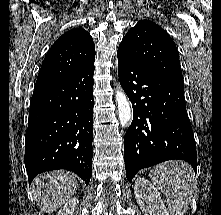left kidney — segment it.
Segmentation results:
<instances>
[{
	"instance_id": "5707ae66",
	"label": "left kidney",
	"mask_w": 221,
	"mask_h": 215,
	"mask_svg": "<svg viewBox=\"0 0 221 215\" xmlns=\"http://www.w3.org/2000/svg\"><path fill=\"white\" fill-rule=\"evenodd\" d=\"M134 194L144 215H170L157 188L147 179L138 177L135 180Z\"/></svg>"
}]
</instances>
